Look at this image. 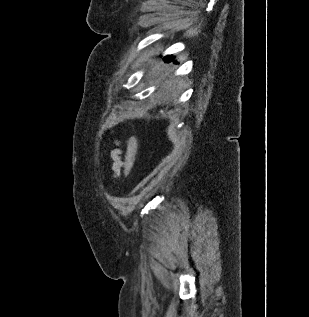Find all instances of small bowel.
<instances>
[{
	"instance_id": "small-bowel-1",
	"label": "small bowel",
	"mask_w": 309,
	"mask_h": 317,
	"mask_svg": "<svg viewBox=\"0 0 309 317\" xmlns=\"http://www.w3.org/2000/svg\"><path fill=\"white\" fill-rule=\"evenodd\" d=\"M115 148L109 153V160L111 165V171L114 178H117L120 175L121 169L124 165L122 160V151L120 149V142H114Z\"/></svg>"
}]
</instances>
